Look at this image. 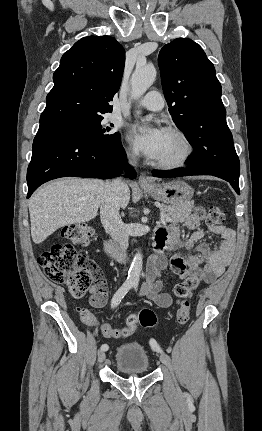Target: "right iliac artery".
<instances>
[{
  "label": "right iliac artery",
  "mask_w": 262,
  "mask_h": 431,
  "mask_svg": "<svg viewBox=\"0 0 262 431\" xmlns=\"http://www.w3.org/2000/svg\"><path fill=\"white\" fill-rule=\"evenodd\" d=\"M133 286V283L130 281H126L123 283V285L117 290V292L114 294L112 301H111V307L115 308L117 305L121 302V299L128 293V291ZM101 350L107 351L108 345L103 344L101 346Z\"/></svg>",
  "instance_id": "1"
}]
</instances>
